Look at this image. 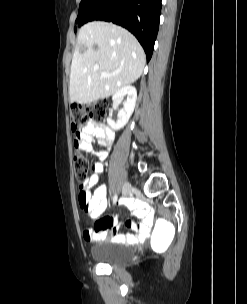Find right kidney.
Returning <instances> with one entry per match:
<instances>
[{"label": "right kidney", "mask_w": 247, "mask_h": 304, "mask_svg": "<svg viewBox=\"0 0 247 304\" xmlns=\"http://www.w3.org/2000/svg\"><path fill=\"white\" fill-rule=\"evenodd\" d=\"M126 96L124 107L118 112V119L115 123L110 117L107 118V124L113 130H119L123 128L130 119L136 104L137 91L134 86L126 85L121 87L112 97L114 104H118L123 97Z\"/></svg>", "instance_id": "ca27d5eb"}]
</instances>
